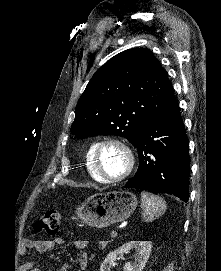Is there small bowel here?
I'll list each match as a JSON object with an SVG mask.
<instances>
[{
  "label": "small bowel",
  "instance_id": "c3829d8e",
  "mask_svg": "<svg viewBox=\"0 0 221 271\" xmlns=\"http://www.w3.org/2000/svg\"><path fill=\"white\" fill-rule=\"evenodd\" d=\"M63 239L55 238V239H26L23 242L22 250L23 251H31L35 250L39 253L51 252L55 249L56 246L62 245ZM76 249L81 253L80 258V268L82 271H85L88 266V258H87V247L88 242L84 239H77L74 242ZM72 265L63 264L59 271H72ZM32 271H39L37 268H33Z\"/></svg>",
  "mask_w": 221,
  "mask_h": 271
}]
</instances>
